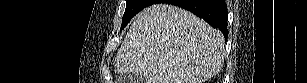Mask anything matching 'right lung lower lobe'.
Returning a JSON list of instances; mask_svg holds the SVG:
<instances>
[{
    "instance_id": "1",
    "label": "right lung lower lobe",
    "mask_w": 307,
    "mask_h": 83,
    "mask_svg": "<svg viewBox=\"0 0 307 83\" xmlns=\"http://www.w3.org/2000/svg\"><path fill=\"white\" fill-rule=\"evenodd\" d=\"M156 3H168L184 8L203 18L213 28L219 29L225 38L228 36L225 0H153L152 4Z\"/></svg>"
}]
</instances>
